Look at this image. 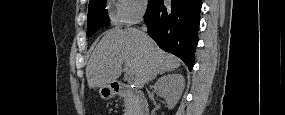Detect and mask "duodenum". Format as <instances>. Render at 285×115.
I'll use <instances>...</instances> for the list:
<instances>
[{"label":"duodenum","mask_w":285,"mask_h":115,"mask_svg":"<svg viewBox=\"0 0 285 115\" xmlns=\"http://www.w3.org/2000/svg\"><path fill=\"white\" fill-rule=\"evenodd\" d=\"M111 92L113 94H122V95H130L133 101L132 105V114L133 115H147L148 108L147 103L142 96V94L138 93V91H133L130 87L123 82H113L110 85Z\"/></svg>","instance_id":"duodenum-1"}]
</instances>
